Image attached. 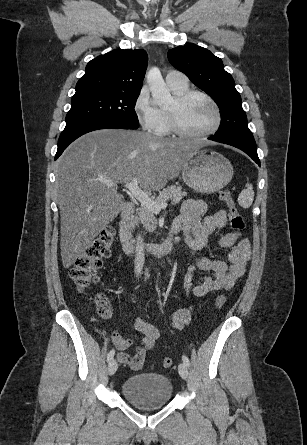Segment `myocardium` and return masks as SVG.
<instances>
[{"instance_id": "myocardium-1", "label": "myocardium", "mask_w": 307, "mask_h": 445, "mask_svg": "<svg viewBox=\"0 0 307 445\" xmlns=\"http://www.w3.org/2000/svg\"><path fill=\"white\" fill-rule=\"evenodd\" d=\"M201 98L209 102L215 109L217 114V121L213 128L204 132H192L187 130L181 123L178 115V111L191 99ZM173 107L165 111L167 123L169 129L179 137H173L172 139H204L210 135L215 134L222 127L224 122V114L219 103L213 99L210 95L198 91L187 90L180 95H174L172 98Z\"/></svg>"}]
</instances>
